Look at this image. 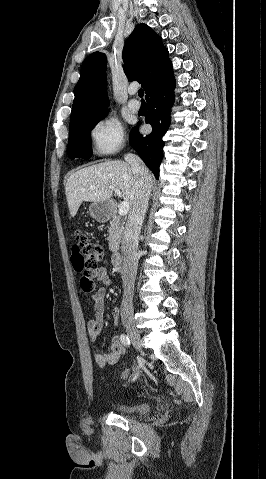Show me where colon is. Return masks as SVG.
Returning <instances> with one entry per match:
<instances>
[{"mask_svg":"<svg viewBox=\"0 0 266 479\" xmlns=\"http://www.w3.org/2000/svg\"><path fill=\"white\" fill-rule=\"evenodd\" d=\"M76 243L72 249L71 261L74 270L80 275V286L83 291L89 292L94 287V282L90 277V272L97 268L98 263L103 257V248L100 244L92 241L83 232L75 231ZM129 375L126 370L122 377L125 379Z\"/></svg>","mask_w":266,"mask_h":479,"instance_id":"1","label":"colon"}]
</instances>
